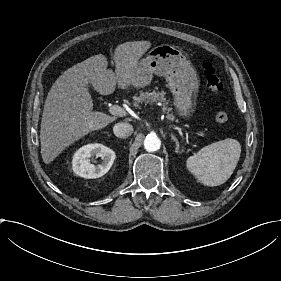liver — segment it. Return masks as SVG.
I'll return each mask as SVG.
<instances>
[{
    "mask_svg": "<svg viewBox=\"0 0 281 281\" xmlns=\"http://www.w3.org/2000/svg\"><path fill=\"white\" fill-rule=\"evenodd\" d=\"M150 46L148 41H131L115 51V72L107 68L102 55L89 57L63 72L55 81L45 100L40 129L41 156L50 163L62 150L92 130L115 120L103 112L93 111L89 82L103 95L112 93L116 85L129 84L136 60Z\"/></svg>",
    "mask_w": 281,
    "mask_h": 281,
    "instance_id": "6515ba94",
    "label": "liver"
}]
</instances>
